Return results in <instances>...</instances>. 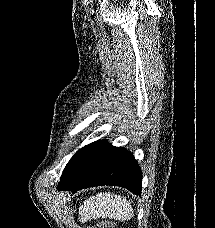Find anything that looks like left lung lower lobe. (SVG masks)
Returning <instances> with one entry per match:
<instances>
[{
    "instance_id": "left-lung-lower-lobe-1",
    "label": "left lung lower lobe",
    "mask_w": 215,
    "mask_h": 228,
    "mask_svg": "<svg viewBox=\"0 0 215 228\" xmlns=\"http://www.w3.org/2000/svg\"><path fill=\"white\" fill-rule=\"evenodd\" d=\"M99 185H117L141 196L142 172L133 155L106 140L79 149L66 165L58 190L72 193Z\"/></svg>"
}]
</instances>
